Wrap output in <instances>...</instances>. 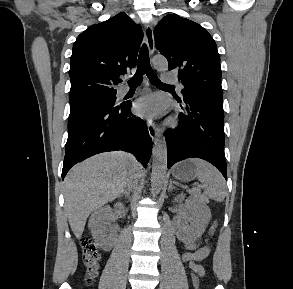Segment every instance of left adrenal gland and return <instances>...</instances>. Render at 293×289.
Segmentation results:
<instances>
[{
  "label": "left adrenal gland",
  "instance_id": "obj_1",
  "mask_svg": "<svg viewBox=\"0 0 293 289\" xmlns=\"http://www.w3.org/2000/svg\"><path fill=\"white\" fill-rule=\"evenodd\" d=\"M175 187L173 186V182L172 180H170V183H169V187H168V191L170 192L171 190H173Z\"/></svg>",
  "mask_w": 293,
  "mask_h": 289
}]
</instances>
